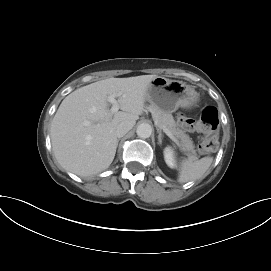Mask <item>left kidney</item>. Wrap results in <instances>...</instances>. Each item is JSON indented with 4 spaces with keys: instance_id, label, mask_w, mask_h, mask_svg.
Segmentation results:
<instances>
[{
    "instance_id": "5707ae66",
    "label": "left kidney",
    "mask_w": 271,
    "mask_h": 271,
    "mask_svg": "<svg viewBox=\"0 0 271 271\" xmlns=\"http://www.w3.org/2000/svg\"><path fill=\"white\" fill-rule=\"evenodd\" d=\"M164 159H165L166 164L170 168H175L176 166L175 154L171 147H166L164 149Z\"/></svg>"
}]
</instances>
